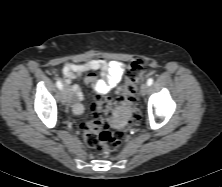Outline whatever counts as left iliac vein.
<instances>
[{
	"label": "left iliac vein",
	"mask_w": 222,
	"mask_h": 187,
	"mask_svg": "<svg viewBox=\"0 0 222 187\" xmlns=\"http://www.w3.org/2000/svg\"><path fill=\"white\" fill-rule=\"evenodd\" d=\"M148 91H149V85L148 84H143L141 86V89H140V94L142 96H144V95H146L148 93Z\"/></svg>",
	"instance_id": "4c4485c4"
}]
</instances>
